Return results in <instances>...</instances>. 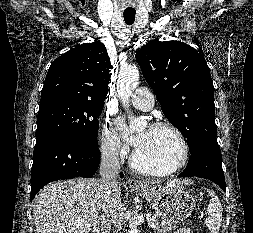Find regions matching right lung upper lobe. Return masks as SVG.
I'll return each mask as SVG.
<instances>
[{"instance_id": "cb5924a9", "label": "right lung upper lobe", "mask_w": 253, "mask_h": 233, "mask_svg": "<svg viewBox=\"0 0 253 233\" xmlns=\"http://www.w3.org/2000/svg\"><path fill=\"white\" fill-rule=\"evenodd\" d=\"M111 69L104 44L79 45L51 63L40 103L53 99L104 102Z\"/></svg>"}]
</instances>
